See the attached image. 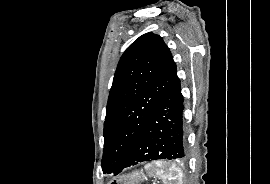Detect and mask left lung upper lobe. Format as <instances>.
Listing matches in <instances>:
<instances>
[{"label":"left lung upper lobe","mask_w":270,"mask_h":184,"mask_svg":"<svg viewBox=\"0 0 270 184\" xmlns=\"http://www.w3.org/2000/svg\"><path fill=\"white\" fill-rule=\"evenodd\" d=\"M177 75L163 39L146 33L122 55L110 90L104 123V173L119 171L140 132Z\"/></svg>","instance_id":"5c2ea615"}]
</instances>
